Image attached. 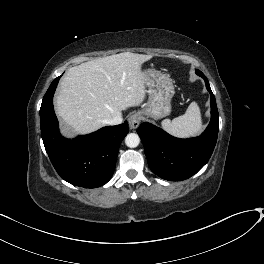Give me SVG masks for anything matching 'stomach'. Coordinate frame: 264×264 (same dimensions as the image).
I'll return each instance as SVG.
<instances>
[{
  "instance_id": "1",
  "label": "stomach",
  "mask_w": 264,
  "mask_h": 264,
  "mask_svg": "<svg viewBox=\"0 0 264 264\" xmlns=\"http://www.w3.org/2000/svg\"><path fill=\"white\" fill-rule=\"evenodd\" d=\"M144 83L148 88V101L143 105L141 113L154 120L168 116L174 95L172 80L158 70L148 69L144 71Z\"/></svg>"
}]
</instances>
